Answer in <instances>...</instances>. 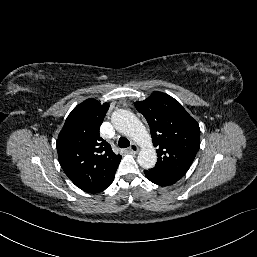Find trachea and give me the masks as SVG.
I'll use <instances>...</instances> for the list:
<instances>
[{
	"label": "trachea",
	"mask_w": 257,
	"mask_h": 257,
	"mask_svg": "<svg viewBox=\"0 0 257 257\" xmlns=\"http://www.w3.org/2000/svg\"><path fill=\"white\" fill-rule=\"evenodd\" d=\"M118 146H119L120 148H127V147L130 146V142H129V140H128L127 138H125V137H120V138H119V141H118Z\"/></svg>",
	"instance_id": "1"
}]
</instances>
